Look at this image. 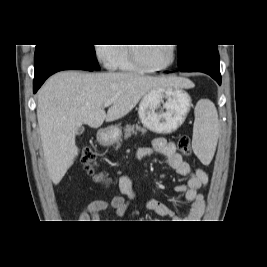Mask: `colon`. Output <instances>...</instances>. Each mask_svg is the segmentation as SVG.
<instances>
[{"label":"colon","mask_w":267,"mask_h":267,"mask_svg":"<svg viewBox=\"0 0 267 267\" xmlns=\"http://www.w3.org/2000/svg\"><path fill=\"white\" fill-rule=\"evenodd\" d=\"M178 150L183 155H189L191 153L190 138L187 135L180 136L178 140ZM81 162L91 175L98 181H104V176L96 172L97 158L94 151L86 147L82 150Z\"/></svg>","instance_id":"obj_1"}]
</instances>
